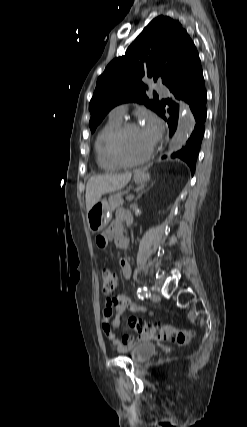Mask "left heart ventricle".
<instances>
[{"label": "left heart ventricle", "instance_id": "1", "mask_svg": "<svg viewBox=\"0 0 247 427\" xmlns=\"http://www.w3.org/2000/svg\"><path fill=\"white\" fill-rule=\"evenodd\" d=\"M153 143L141 127L129 130L123 140L124 154L130 159L145 155Z\"/></svg>", "mask_w": 247, "mask_h": 427}]
</instances>
